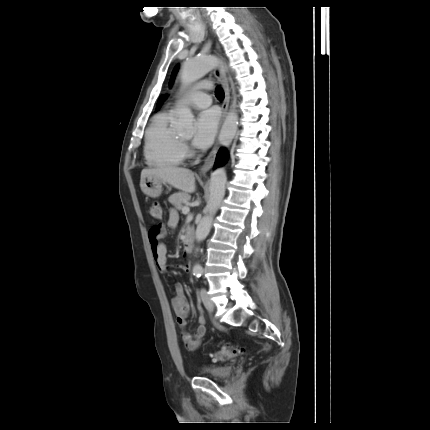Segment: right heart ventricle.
Returning a JSON list of instances; mask_svg holds the SVG:
<instances>
[{
  "label": "right heart ventricle",
  "mask_w": 430,
  "mask_h": 430,
  "mask_svg": "<svg viewBox=\"0 0 430 430\" xmlns=\"http://www.w3.org/2000/svg\"><path fill=\"white\" fill-rule=\"evenodd\" d=\"M172 111L158 113L146 129L144 158L150 167H176L183 162L184 146L172 128Z\"/></svg>",
  "instance_id": "right-heart-ventricle-1"
}]
</instances>
